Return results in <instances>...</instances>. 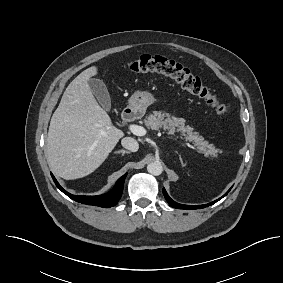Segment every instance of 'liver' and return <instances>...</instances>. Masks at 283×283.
I'll use <instances>...</instances> for the list:
<instances>
[{
  "label": "liver",
  "mask_w": 283,
  "mask_h": 283,
  "mask_svg": "<svg viewBox=\"0 0 283 283\" xmlns=\"http://www.w3.org/2000/svg\"><path fill=\"white\" fill-rule=\"evenodd\" d=\"M97 71L92 66L68 85L50 121L48 162L57 176L67 180L95 171L124 136L89 87L88 80Z\"/></svg>",
  "instance_id": "1"
}]
</instances>
